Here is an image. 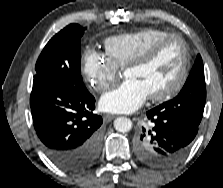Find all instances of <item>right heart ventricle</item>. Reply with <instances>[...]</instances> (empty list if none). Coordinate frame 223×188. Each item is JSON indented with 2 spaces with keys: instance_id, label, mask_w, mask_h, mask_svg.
Masks as SVG:
<instances>
[{
  "instance_id": "obj_1",
  "label": "right heart ventricle",
  "mask_w": 223,
  "mask_h": 188,
  "mask_svg": "<svg viewBox=\"0 0 223 188\" xmlns=\"http://www.w3.org/2000/svg\"><path fill=\"white\" fill-rule=\"evenodd\" d=\"M168 34L159 28H144L135 32L115 35L105 41L107 56L117 67H125L139 52L149 44Z\"/></svg>"
}]
</instances>
